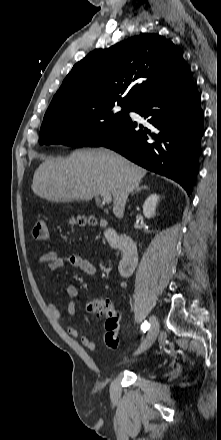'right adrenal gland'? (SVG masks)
<instances>
[{"instance_id":"2a0ac1e0","label":"right adrenal gland","mask_w":221,"mask_h":440,"mask_svg":"<svg viewBox=\"0 0 221 440\" xmlns=\"http://www.w3.org/2000/svg\"><path fill=\"white\" fill-rule=\"evenodd\" d=\"M142 189H149L148 186L144 185V186H137L135 191L132 192V195H134L136 192L142 190Z\"/></svg>"}]
</instances>
